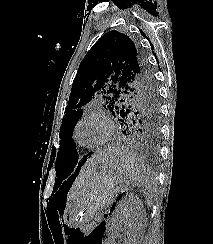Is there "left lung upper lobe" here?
<instances>
[{"instance_id": "1", "label": "left lung upper lobe", "mask_w": 213, "mask_h": 244, "mask_svg": "<svg viewBox=\"0 0 213 244\" xmlns=\"http://www.w3.org/2000/svg\"><path fill=\"white\" fill-rule=\"evenodd\" d=\"M95 98H101L119 121L145 132L159 131V99L151 69L127 35L108 31L87 52L73 81L60 129L62 140L54 157L58 180L70 174L79 156L72 132L82 107Z\"/></svg>"}]
</instances>
